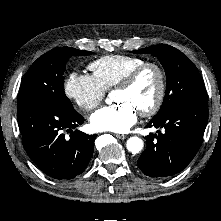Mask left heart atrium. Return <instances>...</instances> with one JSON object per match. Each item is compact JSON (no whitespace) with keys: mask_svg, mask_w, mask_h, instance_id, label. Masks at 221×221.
<instances>
[{"mask_svg":"<svg viewBox=\"0 0 221 221\" xmlns=\"http://www.w3.org/2000/svg\"><path fill=\"white\" fill-rule=\"evenodd\" d=\"M91 125L97 131L127 132L137 121V110L127 102H117L92 114Z\"/></svg>","mask_w":221,"mask_h":221,"instance_id":"left-heart-atrium-1","label":"left heart atrium"}]
</instances>
